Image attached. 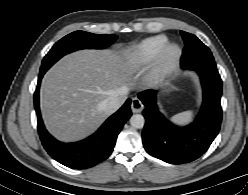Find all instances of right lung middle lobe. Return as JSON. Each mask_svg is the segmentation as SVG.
I'll list each match as a JSON object with an SVG mask.
<instances>
[{
	"instance_id": "right-lung-middle-lobe-1",
	"label": "right lung middle lobe",
	"mask_w": 248,
	"mask_h": 195,
	"mask_svg": "<svg viewBox=\"0 0 248 195\" xmlns=\"http://www.w3.org/2000/svg\"><path fill=\"white\" fill-rule=\"evenodd\" d=\"M117 39L116 35L92 34L85 31H75L59 40L44 57L40 71H47L64 55L79 49H102L108 47Z\"/></svg>"
}]
</instances>
